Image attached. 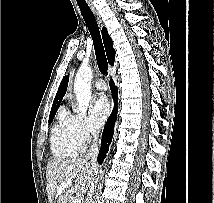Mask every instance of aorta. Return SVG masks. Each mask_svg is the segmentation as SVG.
Wrapping results in <instances>:
<instances>
[{
  "label": "aorta",
  "instance_id": "1",
  "mask_svg": "<svg viewBox=\"0 0 214 203\" xmlns=\"http://www.w3.org/2000/svg\"><path fill=\"white\" fill-rule=\"evenodd\" d=\"M93 71L87 64H82L77 71L74 81V92L78 102L75 112H86L91 100V79Z\"/></svg>",
  "mask_w": 214,
  "mask_h": 203
}]
</instances>
